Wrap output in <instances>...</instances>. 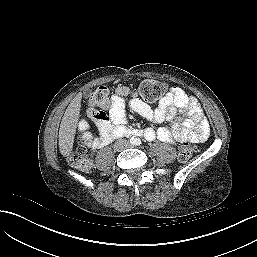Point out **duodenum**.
I'll return each mask as SVG.
<instances>
[{
    "label": "duodenum",
    "mask_w": 257,
    "mask_h": 257,
    "mask_svg": "<svg viewBox=\"0 0 257 257\" xmlns=\"http://www.w3.org/2000/svg\"><path fill=\"white\" fill-rule=\"evenodd\" d=\"M142 132L136 129H117L114 133V137H119L122 135H127V136H139L141 135Z\"/></svg>",
    "instance_id": "obj_1"
}]
</instances>
